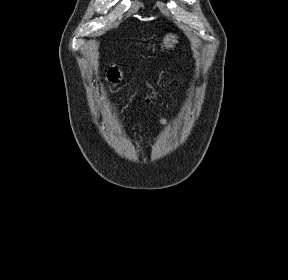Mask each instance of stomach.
<instances>
[{
  "label": "stomach",
  "instance_id": "1",
  "mask_svg": "<svg viewBox=\"0 0 288 280\" xmlns=\"http://www.w3.org/2000/svg\"><path fill=\"white\" fill-rule=\"evenodd\" d=\"M179 37L175 34H168L164 37L163 46L167 49L174 48L175 44L178 43Z\"/></svg>",
  "mask_w": 288,
  "mask_h": 280
}]
</instances>
